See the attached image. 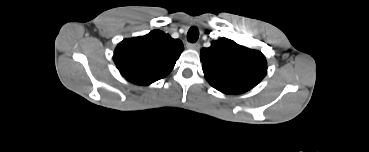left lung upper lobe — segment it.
<instances>
[{"label":"left lung upper lobe","mask_w":369,"mask_h":152,"mask_svg":"<svg viewBox=\"0 0 369 152\" xmlns=\"http://www.w3.org/2000/svg\"><path fill=\"white\" fill-rule=\"evenodd\" d=\"M200 59L207 81L225 94H240L255 87L267 73L265 56L257 50L220 38L202 48Z\"/></svg>","instance_id":"1"}]
</instances>
